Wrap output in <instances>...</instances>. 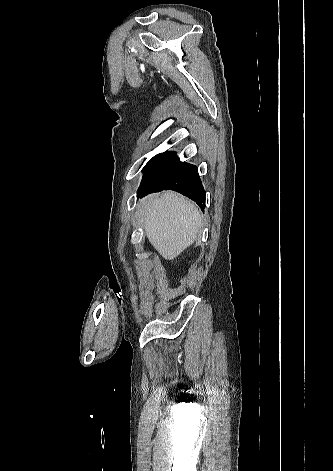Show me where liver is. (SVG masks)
Listing matches in <instances>:
<instances>
[{
    "instance_id": "liver-1",
    "label": "liver",
    "mask_w": 333,
    "mask_h": 471,
    "mask_svg": "<svg viewBox=\"0 0 333 471\" xmlns=\"http://www.w3.org/2000/svg\"><path fill=\"white\" fill-rule=\"evenodd\" d=\"M142 206L146 236L163 258L172 260L194 243L202 219L190 200L169 191L146 198Z\"/></svg>"
}]
</instances>
